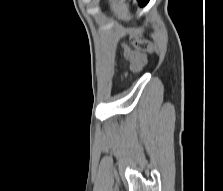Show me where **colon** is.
<instances>
[{"instance_id": "obj_1", "label": "colon", "mask_w": 223, "mask_h": 191, "mask_svg": "<svg viewBox=\"0 0 223 191\" xmlns=\"http://www.w3.org/2000/svg\"><path fill=\"white\" fill-rule=\"evenodd\" d=\"M132 44L139 53H150L152 51V44L149 40L142 37H134Z\"/></svg>"}]
</instances>
